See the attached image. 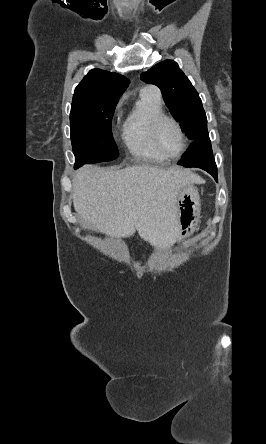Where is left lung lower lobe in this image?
I'll list each match as a JSON object with an SVG mask.
<instances>
[{"instance_id":"left-lung-lower-lobe-1","label":"left lung lower lobe","mask_w":266,"mask_h":444,"mask_svg":"<svg viewBox=\"0 0 266 444\" xmlns=\"http://www.w3.org/2000/svg\"><path fill=\"white\" fill-rule=\"evenodd\" d=\"M184 167H198L210 173L216 181L217 167L213 157L209 134L196 140L189 151H187L179 161Z\"/></svg>"}]
</instances>
